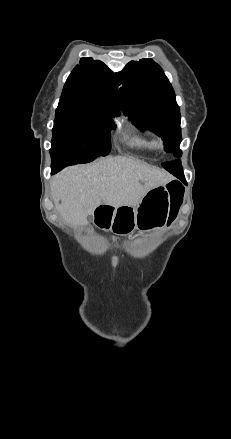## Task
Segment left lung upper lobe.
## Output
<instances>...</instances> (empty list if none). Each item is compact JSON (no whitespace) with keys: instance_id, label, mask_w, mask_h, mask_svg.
<instances>
[{"instance_id":"left-lung-upper-lobe-1","label":"left lung upper lobe","mask_w":231,"mask_h":439,"mask_svg":"<svg viewBox=\"0 0 231 439\" xmlns=\"http://www.w3.org/2000/svg\"><path fill=\"white\" fill-rule=\"evenodd\" d=\"M118 77L122 84L119 93L124 114L142 130L151 129L159 135L165 150L180 157V111L174 90L161 67L149 58L131 61ZM170 164L165 162L162 166Z\"/></svg>"}]
</instances>
